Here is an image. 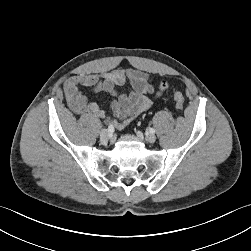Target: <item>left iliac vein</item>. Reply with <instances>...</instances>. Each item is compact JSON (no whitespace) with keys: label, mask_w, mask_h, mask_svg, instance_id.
<instances>
[{"label":"left iliac vein","mask_w":251,"mask_h":251,"mask_svg":"<svg viewBox=\"0 0 251 251\" xmlns=\"http://www.w3.org/2000/svg\"><path fill=\"white\" fill-rule=\"evenodd\" d=\"M137 135L140 136V133L138 132ZM146 140L149 143H154L156 141V136L154 134H147Z\"/></svg>","instance_id":"obj_1"}]
</instances>
